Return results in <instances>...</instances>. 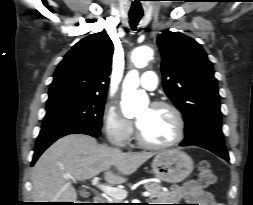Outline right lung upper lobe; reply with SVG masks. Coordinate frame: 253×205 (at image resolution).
I'll return each instance as SVG.
<instances>
[{
  "instance_id": "cb5924a9",
  "label": "right lung upper lobe",
  "mask_w": 253,
  "mask_h": 205,
  "mask_svg": "<svg viewBox=\"0 0 253 205\" xmlns=\"http://www.w3.org/2000/svg\"><path fill=\"white\" fill-rule=\"evenodd\" d=\"M114 45L105 32L78 43L59 63L49 89V100L66 96H105Z\"/></svg>"
}]
</instances>
